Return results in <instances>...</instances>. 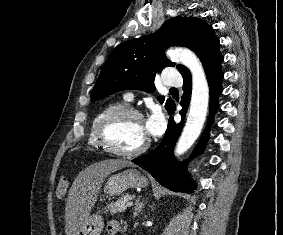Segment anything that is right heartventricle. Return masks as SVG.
<instances>
[{
    "instance_id": "obj_1",
    "label": "right heart ventricle",
    "mask_w": 283,
    "mask_h": 235,
    "mask_svg": "<svg viewBox=\"0 0 283 235\" xmlns=\"http://www.w3.org/2000/svg\"><path fill=\"white\" fill-rule=\"evenodd\" d=\"M124 107V104L121 102H109L105 105H103L93 116L91 122H90V126H89V130H88V136H87V144L89 147L93 148V149H100L101 146L98 144L97 139H96V135H95V130L96 127L99 123V121L101 120V118L107 114L108 112L115 110L117 108H121Z\"/></svg>"
}]
</instances>
